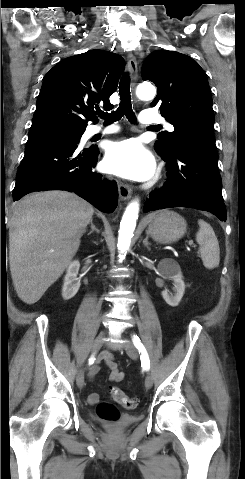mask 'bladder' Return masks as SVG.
I'll return each instance as SVG.
<instances>
[{"label":"bladder","instance_id":"obj_1","mask_svg":"<svg viewBox=\"0 0 245 479\" xmlns=\"http://www.w3.org/2000/svg\"><path fill=\"white\" fill-rule=\"evenodd\" d=\"M131 422H133L132 419H126L125 422L121 423V424H118V425H114L113 427L116 428V429H122V428H125L127 427Z\"/></svg>","mask_w":245,"mask_h":479}]
</instances>
